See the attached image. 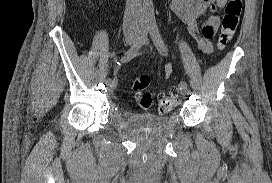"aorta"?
Wrapping results in <instances>:
<instances>
[{
	"instance_id": "1",
	"label": "aorta",
	"mask_w": 272,
	"mask_h": 183,
	"mask_svg": "<svg viewBox=\"0 0 272 183\" xmlns=\"http://www.w3.org/2000/svg\"><path fill=\"white\" fill-rule=\"evenodd\" d=\"M142 20L144 24H153L155 22L154 6L152 0H143Z\"/></svg>"
}]
</instances>
